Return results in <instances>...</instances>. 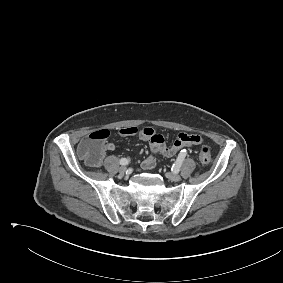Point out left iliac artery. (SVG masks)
<instances>
[{"mask_svg": "<svg viewBox=\"0 0 283 283\" xmlns=\"http://www.w3.org/2000/svg\"><path fill=\"white\" fill-rule=\"evenodd\" d=\"M186 155H187L186 150L182 151V152L178 155V157H177V159H176V162H175V163L173 164V166H172L173 171L177 172V171L180 170V167H181L182 162H183L184 158L186 157Z\"/></svg>", "mask_w": 283, "mask_h": 283, "instance_id": "obj_1", "label": "left iliac artery"}]
</instances>
